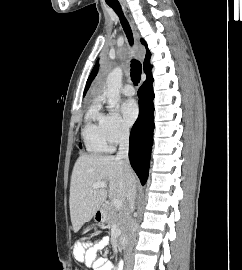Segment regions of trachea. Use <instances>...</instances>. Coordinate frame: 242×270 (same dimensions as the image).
I'll list each match as a JSON object with an SVG mask.
<instances>
[{
    "label": "trachea",
    "mask_w": 242,
    "mask_h": 270,
    "mask_svg": "<svg viewBox=\"0 0 242 270\" xmlns=\"http://www.w3.org/2000/svg\"><path fill=\"white\" fill-rule=\"evenodd\" d=\"M110 7L113 8V10L118 14V16L120 17L121 20V24L123 26V29L126 33V36L129 40V43L132 45L133 44V36H132V31L131 28L126 20V18L123 15L121 6L119 5H111ZM141 73H142V66L141 63L135 59H133L131 61V80L133 81V83L135 85H137L140 81V77H141Z\"/></svg>",
    "instance_id": "1"
}]
</instances>
